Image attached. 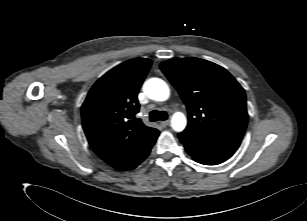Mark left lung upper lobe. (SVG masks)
I'll return each mask as SVG.
<instances>
[{"label":"left lung upper lobe","instance_id":"left-lung-upper-lobe-1","mask_svg":"<svg viewBox=\"0 0 307 221\" xmlns=\"http://www.w3.org/2000/svg\"><path fill=\"white\" fill-rule=\"evenodd\" d=\"M189 113L186 129L242 140L248 121L244 89L223 67L199 58L160 64Z\"/></svg>","mask_w":307,"mask_h":221}]
</instances>
